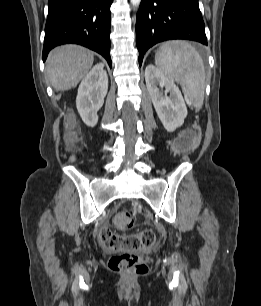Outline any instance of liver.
I'll return each instance as SVG.
<instances>
[{"label": "liver", "mask_w": 261, "mask_h": 306, "mask_svg": "<svg viewBox=\"0 0 261 306\" xmlns=\"http://www.w3.org/2000/svg\"><path fill=\"white\" fill-rule=\"evenodd\" d=\"M94 61L88 49L77 45L55 48L47 59L49 81L56 91L74 88L87 75Z\"/></svg>", "instance_id": "obj_1"}]
</instances>
